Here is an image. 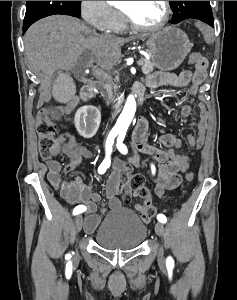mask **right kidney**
Returning <instances> with one entry per match:
<instances>
[{
	"mask_svg": "<svg viewBox=\"0 0 237 300\" xmlns=\"http://www.w3.org/2000/svg\"><path fill=\"white\" fill-rule=\"evenodd\" d=\"M75 127L84 139H92L101 123V113L97 107H80L75 113Z\"/></svg>",
	"mask_w": 237,
	"mask_h": 300,
	"instance_id": "obj_1",
	"label": "right kidney"
}]
</instances>
